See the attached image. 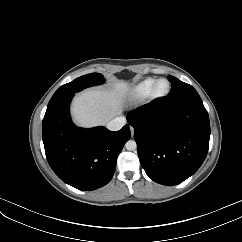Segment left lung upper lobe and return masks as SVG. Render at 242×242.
<instances>
[{"mask_svg": "<svg viewBox=\"0 0 242 242\" xmlns=\"http://www.w3.org/2000/svg\"><path fill=\"white\" fill-rule=\"evenodd\" d=\"M168 79L172 84V88L168 96L164 97L163 99H174L189 95H198L196 90L191 85L184 83L170 75L168 76Z\"/></svg>", "mask_w": 242, "mask_h": 242, "instance_id": "5c2ea615", "label": "left lung upper lobe"}]
</instances>
